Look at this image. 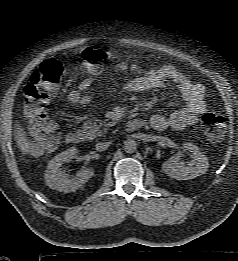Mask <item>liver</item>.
<instances>
[{
	"instance_id": "liver-1",
	"label": "liver",
	"mask_w": 238,
	"mask_h": 261,
	"mask_svg": "<svg viewBox=\"0 0 238 261\" xmlns=\"http://www.w3.org/2000/svg\"><path fill=\"white\" fill-rule=\"evenodd\" d=\"M15 132H16V141L18 143V146L22 152H25L27 150L26 140L20 125L16 126Z\"/></svg>"
}]
</instances>
